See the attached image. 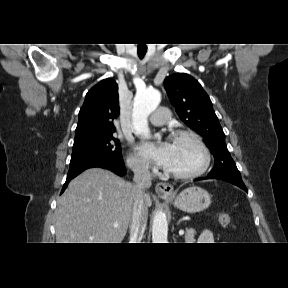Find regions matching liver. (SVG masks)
Returning a JSON list of instances; mask_svg holds the SVG:
<instances>
[{"label":"liver","mask_w":288,"mask_h":288,"mask_svg":"<svg viewBox=\"0 0 288 288\" xmlns=\"http://www.w3.org/2000/svg\"><path fill=\"white\" fill-rule=\"evenodd\" d=\"M134 197V184L109 170L87 169L58 200L57 243H121L131 221ZM145 205L147 209L152 205L148 193Z\"/></svg>","instance_id":"1"}]
</instances>
